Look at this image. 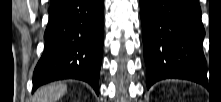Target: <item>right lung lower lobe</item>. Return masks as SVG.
<instances>
[{
    "instance_id": "1",
    "label": "right lung lower lobe",
    "mask_w": 221,
    "mask_h": 102,
    "mask_svg": "<svg viewBox=\"0 0 221 102\" xmlns=\"http://www.w3.org/2000/svg\"><path fill=\"white\" fill-rule=\"evenodd\" d=\"M103 11L104 0H51L33 92L52 81L78 79L88 82L99 94Z\"/></svg>"
}]
</instances>
